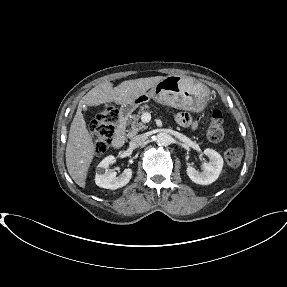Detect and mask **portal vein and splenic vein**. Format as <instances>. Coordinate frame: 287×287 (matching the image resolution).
Here are the masks:
<instances>
[{
  "mask_svg": "<svg viewBox=\"0 0 287 287\" xmlns=\"http://www.w3.org/2000/svg\"><path fill=\"white\" fill-rule=\"evenodd\" d=\"M141 119L144 123H148L151 120V114L148 112H145L142 114Z\"/></svg>",
  "mask_w": 287,
  "mask_h": 287,
  "instance_id": "1",
  "label": "portal vein and splenic vein"
}]
</instances>
